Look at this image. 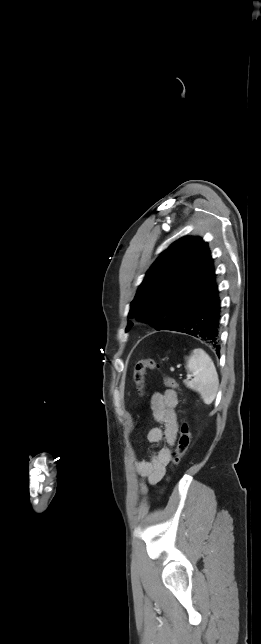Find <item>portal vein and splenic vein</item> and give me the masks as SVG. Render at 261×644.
<instances>
[{"instance_id":"portal-vein-and-splenic-vein-1","label":"portal vein and splenic vein","mask_w":261,"mask_h":644,"mask_svg":"<svg viewBox=\"0 0 261 644\" xmlns=\"http://www.w3.org/2000/svg\"><path fill=\"white\" fill-rule=\"evenodd\" d=\"M191 376H193V375H187V377H191Z\"/></svg>"}]
</instances>
